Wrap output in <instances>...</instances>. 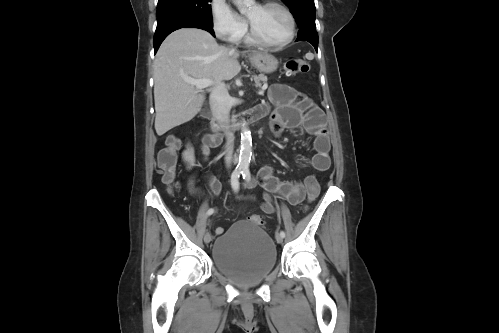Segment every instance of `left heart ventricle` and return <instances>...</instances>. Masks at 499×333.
Listing matches in <instances>:
<instances>
[{
  "instance_id": "1",
  "label": "left heart ventricle",
  "mask_w": 499,
  "mask_h": 333,
  "mask_svg": "<svg viewBox=\"0 0 499 333\" xmlns=\"http://www.w3.org/2000/svg\"><path fill=\"white\" fill-rule=\"evenodd\" d=\"M246 16L256 32L265 40L279 42L289 33V20L286 14L276 7L251 6Z\"/></svg>"
}]
</instances>
